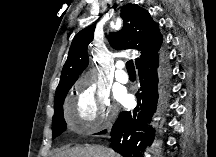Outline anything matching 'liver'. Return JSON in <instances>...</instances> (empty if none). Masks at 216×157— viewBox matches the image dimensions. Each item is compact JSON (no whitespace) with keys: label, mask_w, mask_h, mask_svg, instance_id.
Wrapping results in <instances>:
<instances>
[{"label":"liver","mask_w":216,"mask_h":157,"mask_svg":"<svg viewBox=\"0 0 216 157\" xmlns=\"http://www.w3.org/2000/svg\"><path fill=\"white\" fill-rule=\"evenodd\" d=\"M55 157H117V154L104 146L88 145L63 150L57 153Z\"/></svg>","instance_id":"obj_1"}]
</instances>
